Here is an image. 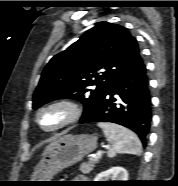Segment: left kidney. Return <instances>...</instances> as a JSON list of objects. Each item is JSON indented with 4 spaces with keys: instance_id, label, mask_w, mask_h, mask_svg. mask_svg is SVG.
I'll list each match as a JSON object with an SVG mask.
<instances>
[{
    "instance_id": "left-kidney-1",
    "label": "left kidney",
    "mask_w": 178,
    "mask_h": 186,
    "mask_svg": "<svg viewBox=\"0 0 178 186\" xmlns=\"http://www.w3.org/2000/svg\"><path fill=\"white\" fill-rule=\"evenodd\" d=\"M94 181H128V172L122 167H113L99 173Z\"/></svg>"
}]
</instances>
